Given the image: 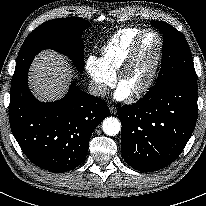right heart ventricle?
<instances>
[{"instance_id":"right-heart-ventricle-1","label":"right heart ventricle","mask_w":206,"mask_h":206,"mask_svg":"<svg viewBox=\"0 0 206 206\" xmlns=\"http://www.w3.org/2000/svg\"><path fill=\"white\" fill-rule=\"evenodd\" d=\"M144 30L143 28H124L117 31L106 42L97 60L107 73L115 77L119 66L127 56L135 39Z\"/></svg>"}]
</instances>
